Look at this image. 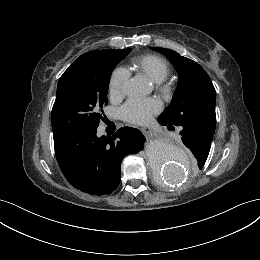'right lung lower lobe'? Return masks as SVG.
Instances as JSON below:
<instances>
[{"label":"right lung lower lobe","instance_id":"1","mask_svg":"<svg viewBox=\"0 0 260 260\" xmlns=\"http://www.w3.org/2000/svg\"><path fill=\"white\" fill-rule=\"evenodd\" d=\"M96 133L97 127H92L54 135V148L60 169L73 187L104 195L118 187L122 159L141 151L145 137L131 127L120 128L112 137Z\"/></svg>","mask_w":260,"mask_h":260}]
</instances>
